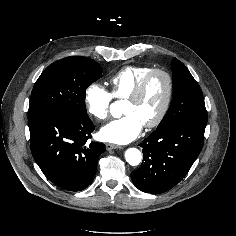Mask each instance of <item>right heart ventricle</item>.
<instances>
[{
    "instance_id": "e07e8e85",
    "label": "right heart ventricle",
    "mask_w": 236,
    "mask_h": 236,
    "mask_svg": "<svg viewBox=\"0 0 236 236\" xmlns=\"http://www.w3.org/2000/svg\"><path fill=\"white\" fill-rule=\"evenodd\" d=\"M153 68L150 66H126L109 79L111 95L115 99H126L140 80Z\"/></svg>"
}]
</instances>
